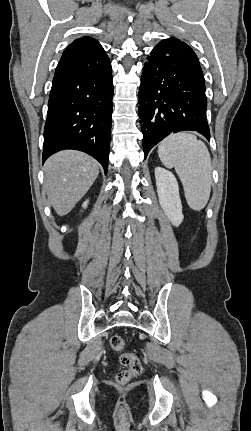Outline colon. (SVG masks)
<instances>
[{
    "label": "colon",
    "mask_w": 251,
    "mask_h": 431,
    "mask_svg": "<svg viewBox=\"0 0 251 431\" xmlns=\"http://www.w3.org/2000/svg\"><path fill=\"white\" fill-rule=\"evenodd\" d=\"M110 346L113 351L121 353L119 363L124 367L116 375V381L124 385L131 379L142 373V364L137 355L130 352H124L125 341L120 335H113L110 339Z\"/></svg>",
    "instance_id": "1"
}]
</instances>
